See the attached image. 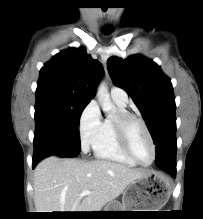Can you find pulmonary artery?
I'll return each instance as SVG.
<instances>
[{
  "label": "pulmonary artery",
  "instance_id": "pulmonary-artery-1",
  "mask_svg": "<svg viewBox=\"0 0 203 219\" xmlns=\"http://www.w3.org/2000/svg\"><path fill=\"white\" fill-rule=\"evenodd\" d=\"M110 95L114 102H117L121 105H126L128 103L127 93L119 87H112Z\"/></svg>",
  "mask_w": 203,
  "mask_h": 219
}]
</instances>
